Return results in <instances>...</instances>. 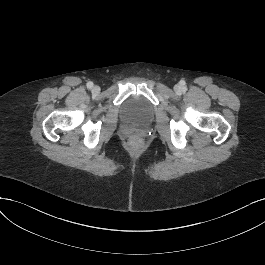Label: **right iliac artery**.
<instances>
[{
  "instance_id": "1",
  "label": "right iliac artery",
  "mask_w": 265,
  "mask_h": 265,
  "mask_svg": "<svg viewBox=\"0 0 265 265\" xmlns=\"http://www.w3.org/2000/svg\"><path fill=\"white\" fill-rule=\"evenodd\" d=\"M93 85H94L93 82L90 81L87 83V88L92 89Z\"/></svg>"
}]
</instances>
